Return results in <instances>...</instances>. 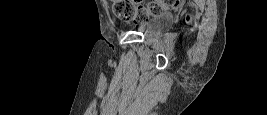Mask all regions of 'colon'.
Segmentation results:
<instances>
[{
    "mask_svg": "<svg viewBox=\"0 0 267 115\" xmlns=\"http://www.w3.org/2000/svg\"><path fill=\"white\" fill-rule=\"evenodd\" d=\"M112 10L124 22L141 23L150 17L163 13L164 7L159 3L136 5L128 0H113Z\"/></svg>",
    "mask_w": 267,
    "mask_h": 115,
    "instance_id": "obj_1",
    "label": "colon"
}]
</instances>
